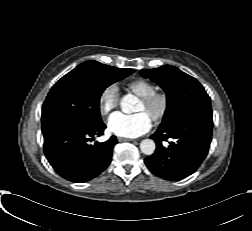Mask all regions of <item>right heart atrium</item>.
Listing matches in <instances>:
<instances>
[{
  "label": "right heart atrium",
  "mask_w": 252,
  "mask_h": 231,
  "mask_svg": "<svg viewBox=\"0 0 252 231\" xmlns=\"http://www.w3.org/2000/svg\"><path fill=\"white\" fill-rule=\"evenodd\" d=\"M119 89L114 83L107 85L101 91L98 98V109L102 116H108L119 103Z\"/></svg>",
  "instance_id": "right-heart-atrium-1"
}]
</instances>
